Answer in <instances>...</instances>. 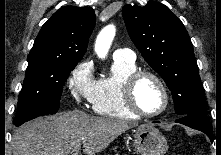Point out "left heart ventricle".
<instances>
[{"mask_svg": "<svg viewBox=\"0 0 221 155\" xmlns=\"http://www.w3.org/2000/svg\"><path fill=\"white\" fill-rule=\"evenodd\" d=\"M136 101L145 112L159 111L164 104L163 92L158 83L150 78H142L136 87Z\"/></svg>", "mask_w": 221, "mask_h": 155, "instance_id": "left-heart-ventricle-1", "label": "left heart ventricle"}]
</instances>
